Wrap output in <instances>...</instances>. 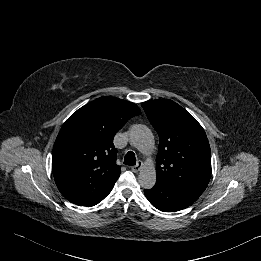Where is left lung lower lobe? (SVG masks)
<instances>
[{"mask_svg": "<svg viewBox=\"0 0 261 261\" xmlns=\"http://www.w3.org/2000/svg\"><path fill=\"white\" fill-rule=\"evenodd\" d=\"M146 198L158 210L175 212L189 207L201 194L181 187L156 182L153 188L144 190Z\"/></svg>", "mask_w": 261, "mask_h": 261, "instance_id": "1", "label": "left lung lower lobe"}]
</instances>
